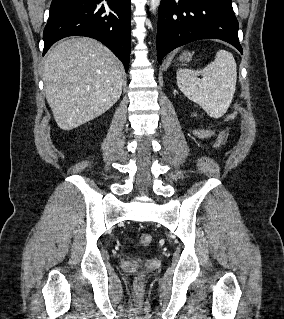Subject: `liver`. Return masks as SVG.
<instances>
[{
  "instance_id": "obj_1",
  "label": "liver",
  "mask_w": 284,
  "mask_h": 319,
  "mask_svg": "<svg viewBox=\"0 0 284 319\" xmlns=\"http://www.w3.org/2000/svg\"><path fill=\"white\" fill-rule=\"evenodd\" d=\"M115 55L88 37H71L51 48L45 60L46 99L55 121L72 130L110 109L122 93Z\"/></svg>"
}]
</instances>
